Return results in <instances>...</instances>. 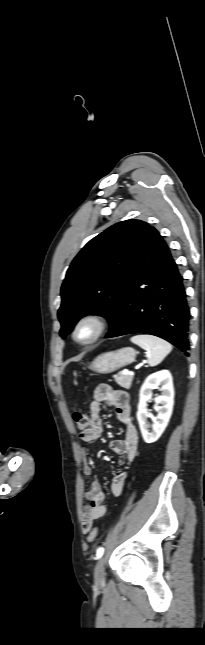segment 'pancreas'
<instances>
[{
    "instance_id": "cf45deb5",
    "label": "pancreas",
    "mask_w": 205,
    "mask_h": 645,
    "mask_svg": "<svg viewBox=\"0 0 205 645\" xmlns=\"http://www.w3.org/2000/svg\"><path fill=\"white\" fill-rule=\"evenodd\" d=\"M114 380L119 384L121 387L130 389L133 376L131 375H125L122 372L114 376Z\"/></svg>"
}]
</instances>
